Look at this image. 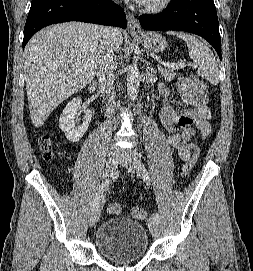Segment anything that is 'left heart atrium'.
Returning <instances> with one entry per match:
<instances>
[{
  "mask_svg": "<svg viewBox=\"0 0 253 271\" xmlns=\"http://www.w3.org/2000/svg\"><path fill=\"white\" fill-rule=\"evenodd\" d=\"M132 1H134L137 4H143V3L147 2V0H132Z\"/></svg>",
  "mask_w": 253,
  "mask_h": 271,
  "instance_id": "obj_1",
  "label": "left heart atrium"
}]
</instances>
